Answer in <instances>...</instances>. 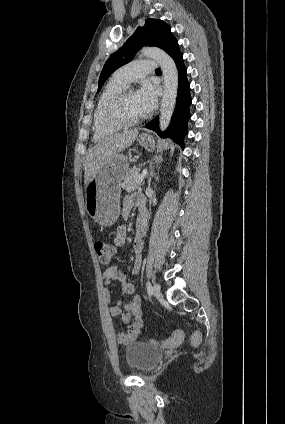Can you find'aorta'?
I'll return each instance as SVG.
<instances>
[{
	"instance_id": "1",
	"label": "aorta",
	"mask_w": 285,
	"mask_h": 424,
	"mask_svg": "<svg viewBox=\"0 0 285 424\" xmlns=\"http://www.w3.org/2000/svg\"><path fill=\"white\" fill-rule=\"evenodd\" d=\"M143 56L152 58L161 66L164 77V94L160 108L159 126L164 131L169 125L178 91V71L173 59L157 47H143Z\"/></svg>"
}]
</instances>
